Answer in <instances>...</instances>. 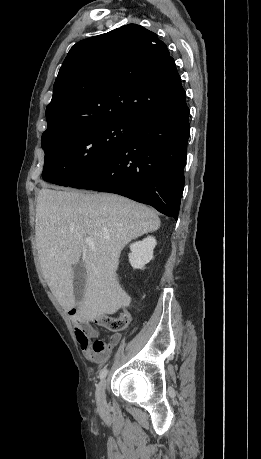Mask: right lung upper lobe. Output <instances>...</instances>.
<instances>
[{
    "label": "right lung upper lobe",
    "instance_id": "right-lung-upper-lobe-1",
    "mask_svg": "<svg viewBox=\"0 0 261 459\" xmlns=\"http://www.w3.org/2000/svg\"><path fill=\"white\" fill-rule=\"evenodd\" d=\"M184 94L166 44L142 26L129 24L70 49L46 109L43 134L79 132L113 120L138 123Z\"/></svg>",
    "mask_w": 261,
    "mask_h": 459
}]
</instances>
